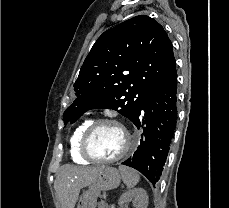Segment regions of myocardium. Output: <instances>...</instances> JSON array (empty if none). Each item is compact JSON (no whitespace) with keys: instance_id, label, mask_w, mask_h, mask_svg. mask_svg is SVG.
<instances>
[{"instance_id":"f54148a6","label":"myocardium","mask_w":229,"mask_h":208,"mask_svg":"<svg viewBox=\"0 0 229 208\" xmlns=\"http://www.w3.org/2000/svg\"><path fill=\"white\" fill-rule=\"evenodd\" d=\"M106 124H113L121 128L126 133L128 137V142L125 143V149L120 154H118L117 157H109V160H100V157H93V152H89V139L93 138V135L97 129ZM135 143L136 142L133 135L130 133L129 130H127V128L121 122L115 119L104 118L93 121L86 128L82 136V143H80V148L78 149V152L82 153V158H89L92 161L99 163H112L125 158L133 150V148L135 147Z\"/></svg>"}]
</instances>
